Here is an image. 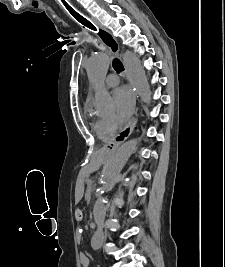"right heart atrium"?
<instances>
[{"label":"right heart atrium","instance_id":"right-heart-atrium-1","mask_svg":"<svg viewBox=\"0 0 225 267\" xmlns=\"http://www.w3.org/2000/svg\"><path fill=\"white\" fill-rule=\"evenodd\" d=\"M102 125L104 130L109 133V134H113L117 128L118 125L117 123L113 120V119H102Z\"/></svg>","mask_w":225,"mask_h":267}]
</instances>
